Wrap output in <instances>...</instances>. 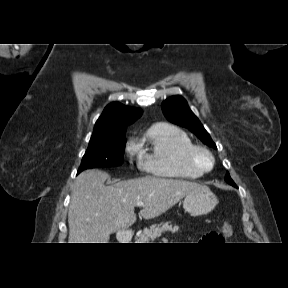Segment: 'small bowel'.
<instances>
[{
	"label": "small bowel",
	"mask_w": 288,
	"mask_h": 288,
	"mask_svg": "<svg viewBox=\"0 0 288 288\" xmlns=\"http://www.w3.org/2000/svg\"><path fill=\"white\" fill-rule=\"evenodd\" d=\"M208 236H209V235H208ZM208 236H206V238H205V241H206V242H208V239H207Z\"/></svg>",
	"instance_id": "small-bowel-1"
}]
</instances>
